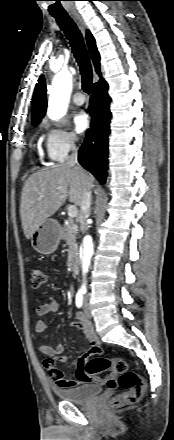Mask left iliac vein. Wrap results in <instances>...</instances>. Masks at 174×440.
<instances>
[{
  "label": "left iliac vein",
  "instance_id": "1",
  "mask_svg": "<svg viewBox=\"0 0 174 440\" xmlns=\"http://www.w3.org/2000/svg\"><path fill=\"white\" fill-rule=\"evenodd\" d=\"M84 314H85L86 318H88V319L91 318V313H90L89 305H88L86 300L84 301Z\"/></svg>",
  "mask_w": 174,
  "mask_h": 440
}]
</instances>
